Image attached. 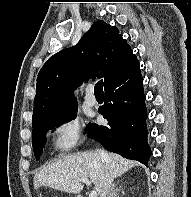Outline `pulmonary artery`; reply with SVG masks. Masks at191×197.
Returning <instances> with one entry per match:
<instances>
[{"instance_id":"pulmonary-artery-1","label":"pulmonary artery","mask_w":191,"mask_h":197,"mask_svg":"<svg viewBox=\"0 0 191 197\" xmlns=\"http://www.w3.org/2000/svg\"><path fill=\"white\" fill-rule=\"evenodd\" d=\"M85 102L90 105L94 106L96 105V97L93 94V86H88L86 90V95H85Z\"/></svg>"}]
</instances>
